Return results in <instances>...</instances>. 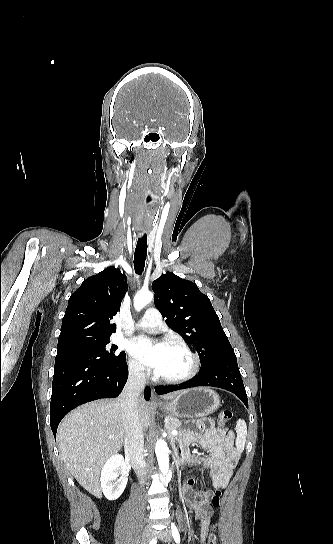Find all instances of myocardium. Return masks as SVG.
Returning a JSON list of instances; mask_svg holds the SVG:
<instances>
[{"label":"myocardium","mask_w":333,"mask_h":544,"mask_svg":"<svg viewBox=\"0 0 333 544\" xmlns=\"http://www.w3.org/2000/svg\"><path fill=\"white\" fill-rule=\"evenodd\" d=\"M168 345L180 348L185 353H187L188 356L191 359V367L182 376L163 377V376H160L157 373H155V378L159 382L166 383V384H181V383H185V382L191 380L192 378H194L197 375V373L199 372L200 367H201V361H200L199 355L195 351H193L192 348L185 341L180 340V339H172V340L169 341Z\"/></svg>","instance_id":"f54148a6"}]
</instances>
